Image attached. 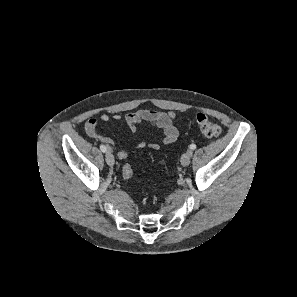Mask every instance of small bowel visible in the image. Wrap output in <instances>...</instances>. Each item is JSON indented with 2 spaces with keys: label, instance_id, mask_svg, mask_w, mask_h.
<instances>
[{
  "label": "small bowel",
  "instance_id": "1",
  "mask_svg": "<svg viewBox=\"0 0 297 297\" xmlns=\"http://www.w3.org/2000/svg\"><path fill=\"white\" fill-rule=\"evenodd\" d=\"M175 117L174 112H162L149 109H139L131 113H127L124 116V121L132 132H136L137 126L141 123H148L161 130L163 137L162 143L165 145H170L174 143L178 138V130L173 124V119ZM120 121L122 119L119 114H108L103 113L100 116L90 117L84 125L85 133L90 137L101 141L109 149L115 145L112 138L105 136L98 132L97 126L99 121L108 122L110 120ZM148 147L152 150L159 149L158 143H149L142 141L136 145L137 149H144Z\"/></svg>",
  "mask_w": 297,
  "mask_h": 297
}]
</instances>
